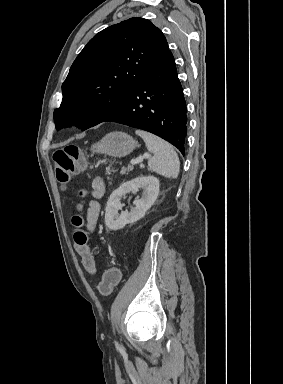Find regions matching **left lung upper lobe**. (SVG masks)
I'll list each match as a JSON object with an SVG mask.
<instances>
[{"label":"left lung upper lobe","instance_id":"5c2ea615","mask_svg":"<svg viewBox=\"0 0 283 384\" xmlns=\"http://www.w3.org/2000/svg\"><path fill=\"white\" fill-rule=\"evenodd\" d=\"M168 43L144 18H130L96 34L79 53L62 84L56 129L93 127L126 100L137 82L164 56Z\"/></svg>","mask_w":283,"mask_h":384}]
</instances>
